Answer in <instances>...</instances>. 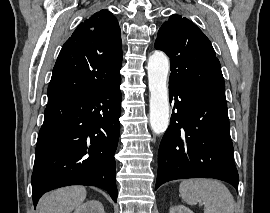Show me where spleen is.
<instances>
[{"instance_id": "obj_1", "label": "spleen", "mask_w": 270, "mask_h": 213, "mask_svg": "<svg viewBox=\"0 0 270 213\" xmlns=\"http://www.w3.org/2000/svg\"><path fill=\"white\" fill-rule=\"evenodd\" d=\"M182 199L189 205L204 204V213H234V199L228 188L213 179H187L179 185Z\"/></svg>"}]
</instances>
